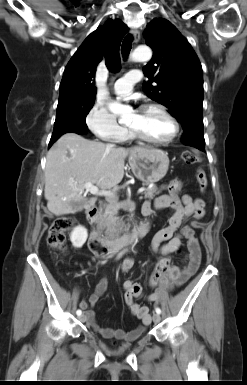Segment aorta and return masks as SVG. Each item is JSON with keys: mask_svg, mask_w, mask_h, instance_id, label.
I'll return each instance as SVG.
<instances>
[{"mask_svg": "<svg viewBox=\"0 0 247 385\" xmlns=\"http://www.w3.org/2000/svg\"><path fill=\"white\" fill-rule=\"evenodd\" d=\"M152 57V51L147 46H140L132 53V60L134 61H148ZM109 110L116 115H125L130 112V108L119 102H111L108 105Z\"/></svg>", "mask_w": 247, "mask_h": 385, "instance_id": "obj_1", "label": "aorta"}]
</instances>
